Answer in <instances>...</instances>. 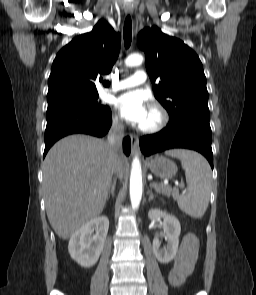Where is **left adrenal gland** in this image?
<instances>
[{"instance_id": "left-adrenal-gland-1", "label": "left adrenal gland", "mask_w": 256, "mask_h": 295, "mask_svg": "<svg viewBox=\"0 0 256 295\" xmlns=\"http://www.w3.org/2000/svg\"><path fill=\"white\" fill-rule=\"evenodd\" d=\"M147 194L149 195L148 201H151L155 197L154 194H153V192H152V189H149L147 191Z\"/></svg>"}]
</instances>
